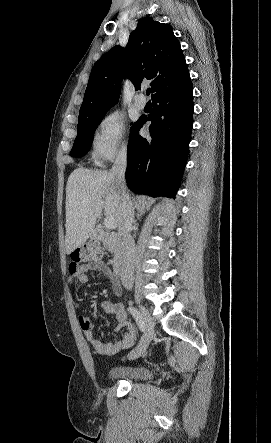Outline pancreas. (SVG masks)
Here are the masks:
<instances>
[{
	"mask_svg": "<svg viewBox=\"0 0 271 443\" xmlns=\"http://www.w3.org/2000/svg\"><path fill=\"white\" fill-rule=\"evenodd\" d=\"M100 239H101V241H103V245H105V247H108V251H111V253H114V251L116 249L115 241H112V239H109V235H101Z\"/></svg>",
	"mask_w": 271,
	"mask_h": 443,
	"instance_id": "obj_1",
	"label": "pancreas"
}]
</instances>
